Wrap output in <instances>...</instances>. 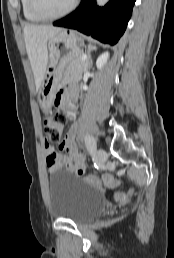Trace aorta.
Segmentation results:
<instances>
[{"instance_id": "obj_1", "label": "aorta", "mask_w": 174, "mask_h": 258, "mask_svg": "<svg viewBox=\"0 0 174 258\" xmlns=\"http://www.w3.org/2000/svg\"><path fill=\"white\" fill-rule=\"evenodd\" d=\"M109 0H96L98 6H104Z\"/></svg>"}]
</instances>
